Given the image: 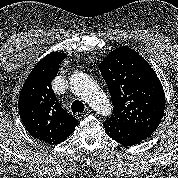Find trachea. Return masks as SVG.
<instances>
[{
  "label": "trachea",
  "mask_w": 178,
  "mask_h": 178,
  "mask_svg": "<svg viewBox=\"0 0 178 178\" xmlns=\"http://www.w3.org/2000/svg\"><path fill=\"white\" fill-rule=\"evenodd\" d=\"M71 109H72L73 113L83 112L84 111V104L81 101L75 100L71 105Z\"/></svg>",
  "instance_id": "1"
}]
</instances>
